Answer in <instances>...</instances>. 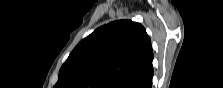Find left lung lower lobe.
<instances>
[{"label": "left lung lower lobe", "instance_id": "0a47b994", "mask_svg": "<svg viewBox=\"0 0 223 88\" xmlns=\"http://www.w3.org/2000/svg\"><path fill=\"white\" fill-rule=\"evenodd\" d=\"M153 71L144 79L138 82L133 88H151L152 87Z\"/></svg>", "mask_w": 223, "mask_h": 88}]
</instances>
